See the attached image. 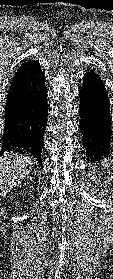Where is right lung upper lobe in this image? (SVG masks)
Returning a JSON list of instances; mask_svg holds the SVG:
<instances>
[{"label": "right lung upper lobe", "mask_w": 113, "mask_h": 279, "mask_svg": "<svg viewBox=\"0 0 113 279\" xmlns=\"http://www.w3.org/2000/svg\"><path fill=\"white\" fill-rule=\"evenodd\" d=\"M36 64H38V62L34 60H28L25 63L21 64L12 79L11 86L25 77Z\"/></svg>", "instance_id": "cb5924a9"}]
</instances>
